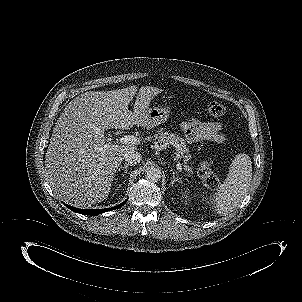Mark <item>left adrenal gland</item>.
Masks as SVG:
<instances>
[{
  "mask_svg": "<svg viewBox=\"0 0 302 302\" xmlns=\"http://www.w3.org/2000/svg\"><path fill=\"white\" fill-rule=\"evenodd\" d=\"M180 178L178 175L172 170V180H171V185L175 184V182H180Z\"/></svg>",
  "mask_w": 302,
  "mask_h": 302,
  "instance_id": "a2214340",
  "label": "left adrenal gland"
}]
</instances>
